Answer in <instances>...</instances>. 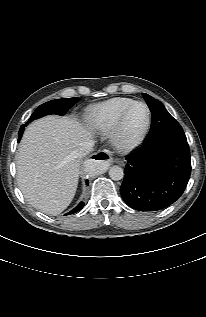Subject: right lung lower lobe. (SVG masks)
<instances>
[{"label": "right lung lower lobe", "mask_w": 206, "mask_h": 317, "mask_svg": "<svg viewBox=\"0 0 206 317\" xmlns=\"http://www.w3.org/2000/svg\"><path fill=\"white\" fill-rule=\"evenodd\" d=\"M19 140H20V137L18 138V142H19ZM87 183H88V181H87ZM84 205H85L84 202H80L73 210H71L66 215H70V214L78 212L79 210H81L83 208Z\"/></svg>", "instance_id": "obj_1"}]
</instances>
